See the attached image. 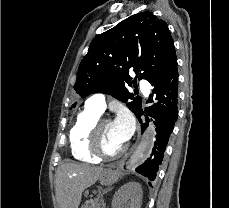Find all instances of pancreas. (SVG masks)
<instances>
[{"label": "pancreas", "instance_id": "obj_1", "mask_svg": "<svg viewBox=\"0 0 229 208\" xmlns=\"http://www.w3.org/2000/svg\"><path fill=\"white\" fill-rule=\"evenodd\" d=\"M82 208H105L104 200H102V198L88 200V202H85V206H82Z\"/></svg>", "mask_w": 229, "mask_h": 208}]
</instances>
